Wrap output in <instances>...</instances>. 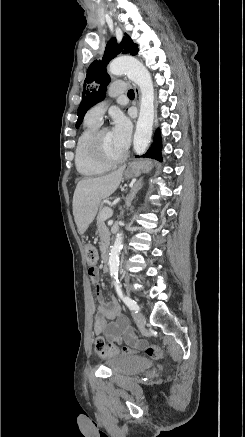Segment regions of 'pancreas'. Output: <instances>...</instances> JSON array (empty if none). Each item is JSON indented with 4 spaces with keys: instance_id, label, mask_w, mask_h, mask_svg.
<instances>
[{
    "instance_id": "cf45deb5",
    "label": "pancreas",
    "mask_w": 245,
    "mask_h": 437,
    "mask_svg": "<svg viewBox=\"0 0 245 437\" xmlns=\"http://www.w3.org/2000/svg\"><path fill=\"white\" fill-rule=\"evenodd\" d=\"M106 210L109 211V213H112V210L108 207H102L99 211V214L97 216V229L100 236V247L107 246L110 240V232L109 229L106 227L104 221L107 219L105 218ZM110 217V216H109ZM108 217V218H109Z\"/></svg>"
}]
</instances>
